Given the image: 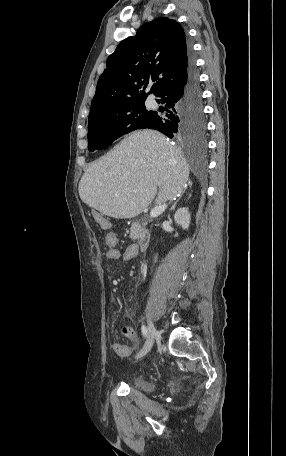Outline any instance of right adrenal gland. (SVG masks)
<instances>
[{
	"label": "right adrenal gland",
	"mask_w": 286,
	"mask_h": 456,
	"mask_svg": "<svg viewBox=\"0 0 286 456\" xmlns=\"http://www.w3.org/2000/svg\"><path fill=\"white\" fill-rule=\"evenodd\" d=\"M190 185V183L188 184V186ZM187 187V185H186ZM186 189V188H185ZM179 201V199L172 205V207L170 208V210H174L176 205H177V202Z\"/></svg>",
	"instance_id": "1"
}]
</instances>
